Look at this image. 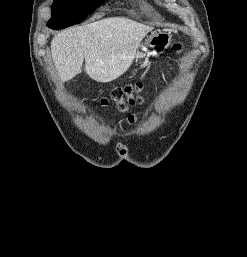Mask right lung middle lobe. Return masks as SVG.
Returning <instances> with one entry per match:
<instances>
[{
	"label": "right lung middle lobe",
	"instance_id": "right-lung-middle-lobe-1",
	"mask_svg": "<svg viewBox=\"0 0 247 257\" xmlns=\"http://www.w3.org/2000/svg\"><path fill=\"white\" fill-rule=\"evenodd\" d=\"M102 0H54L48 27L62 29L80 23Z\"/></svg>",
	"mask_w": 247,
	"mask_h": 257
}]
</instances>
